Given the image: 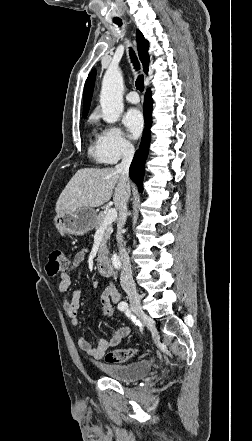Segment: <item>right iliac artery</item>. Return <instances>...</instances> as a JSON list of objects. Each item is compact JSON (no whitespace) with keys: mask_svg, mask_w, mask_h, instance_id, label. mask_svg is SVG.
<instances>
[{"mask_svg":"<svg viewBox=\"0 0 252 441\" xmlns=\"http://www.w3.org/2000/svg\"><path fill=\"white\" fill-rule=\"evenodd\" d=\"M128 304L126 302H121L118 305V309L121 311H125V309L127 308Z\"/></svg>","mask_w":252,"mask_h":441,"instance_id":"1","label":"right iliac artery"}]
</instances>
